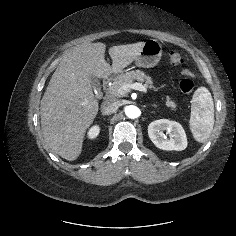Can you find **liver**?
Wrapping results in <instances>:
<instances>
[{"label":"liver","mask_w":236,"mask_h":236,"mask_svg":"<svg viewBox=\"0 0 236 236\" xmlns=\"http://www.w3.org/2000/svg\"><path fill=\"white\" fill-rule=\"evenodd\" d=\"M145 42L109 48L112 66L104 59V43H83L72 47L53 73L40 104L41 128L48 146L68 161L81 152L87 129L99 108L91 76L106 78L118 74L140 54Z\"/></svg>","instance_id":"obj_1"}]
</instances>
